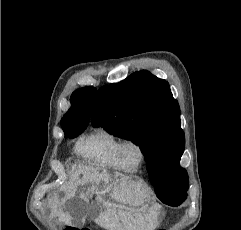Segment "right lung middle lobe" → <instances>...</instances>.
<instances>
[{"mask_svg": "<svg viewBox=\"0 0 241 230\" xmlns=\"http://www.w3.org/2000/svg\"><path fill=\"white\" fill-rule=\"evenodd\" d=\"M85 130V128L82 129H68V130H64L65 136L68 138H75L78 135H80L83 131Z\"/></svg>", "mask_w": 241, "mask_h": 230, "instance_id": "1", "label": "right lung middle lobe"}]
</instances>
